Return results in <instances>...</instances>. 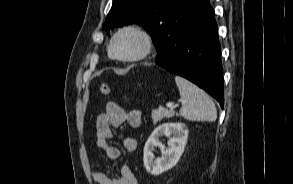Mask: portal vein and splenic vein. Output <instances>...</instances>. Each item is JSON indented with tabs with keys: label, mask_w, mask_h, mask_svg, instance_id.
<instances>
[{
	"label": "portal vein and splenic vein",
	"mask_w": 293,
	"mask_h": 184,
	"mask_svg": "<svg viewBox=\"0 0 293 184\" xmlns=\"http://www.w3.org/2000/svg\"><path fill=\"white\" fill-rule=\"evenodd\" d=\"M182 104H184L185 102L184 101H181ZM179 104H175L173 102H170V103H167L166 104V107L169 108V109H174L176 106H178Z\"/></svg>",
	"instance_id": "1"
}]
</instances>
